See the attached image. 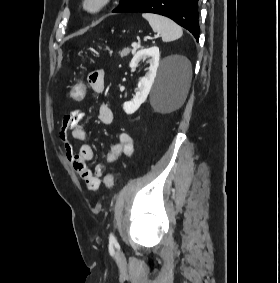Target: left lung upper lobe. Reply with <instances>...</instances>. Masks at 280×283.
<instances>
[{
    "instance_id": "left-lung-upper-lobe-1",
    "label": "left lung upper lobe",
    "mask_w": 280,
    "mask_h": 283,
    "mask_svg": "<svg viewBox=\"0 0 280 283\" xmlns=\"http://www.w3.org/2000/svg\"><path fill=\"white\" fill-rule=\"evenodd\" d=\"M136 1L137 0H120L119 6L115 10H113V12H123Z\"/></svg>"
}]
</instances>
